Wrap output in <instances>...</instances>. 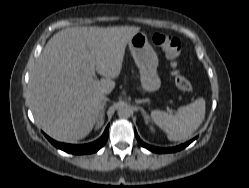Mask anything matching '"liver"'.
<instances>
[{
    "instance_id": "1",
    "label": "liver",
    "mask_w": 249,
    "mask_h": 188,
    "mask_svg": "<svg viewBox=\"0 0 249 188\" xmlns=\"http://www.w3.org/2000/svg\"><path fill=\"white\" fill-rule=\"evenodd\" d=\"M140 27H72L56 33L33 69L29 88L36 124L51 138L76 142L97 122ZM95 71L103 79L94 78Z\"/></svg>"
}]
</instances>
